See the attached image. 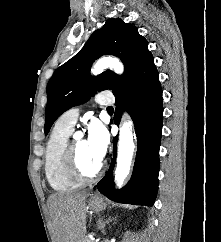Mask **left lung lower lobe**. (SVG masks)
I'll return each instance as SVG.
<instances>
[{"instance_id":"1","label":"left lung lower lobe","mask_w":221,"mask_h":242,"mask_svg":"<svg viewBox=\"0 0 221 242\" xmlns=\"http://www.w3.org/2000/svg\"><path fill=\"white\" fill-rule=\"evenodd\" d=\"M114 95L117 106L115 124L119 123L124 110L130 113L134 121L138 141L136 160L130 181L124 188L115 190L112 171L116 159V136L113 140L114 158L109 171L96 187L115 202L152 206L158 190L163 119L162 89L156 66L152 65Z\"/></svg>"}]
</instances>
